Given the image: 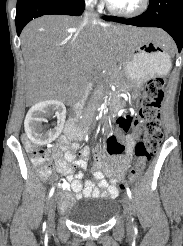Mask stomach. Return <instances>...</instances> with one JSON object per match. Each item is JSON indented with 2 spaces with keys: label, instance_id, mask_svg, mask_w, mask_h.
<instances>
[{
  "label": "stomach",
  "instance_id": "0dacf381",
  "mask_svg": "<svg viewBox=\"0 0 183 246\" xmlns=\"http://www.w3.org/2000/svg\"><path fill=\"white\" fill-rule=\"evenodd\" d=\"M167 46L154 40L131 41L125 51L124 74L130 81L142 83L154 75L167 73L170 61ZM145 62H133V61Z\"/></svg>",
  "mask_w": 183,
  "mask_h": 246
}]
</instances>
